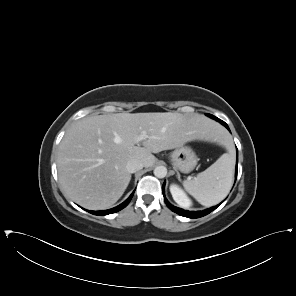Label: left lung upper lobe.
<instances>
[{
  "mask_svg": "<svg viewBox=\"0 0 296 296\" xmlns=\"http://www.w3.org/2000/svg\"><path fill=\"white\" fill-rule=\"evenodd\" d=\"M209 117H211V118H213V119H215V120H217V121H219V122H221V120L220 119H218L217 117H215V116H213V115H211V114H207Z\"/></svg>",
  "mask_w": 296,
  "mask_h": 296,
  "instance_id": "1",
  "label": "left lung upper lobe"
}]
</instances>
